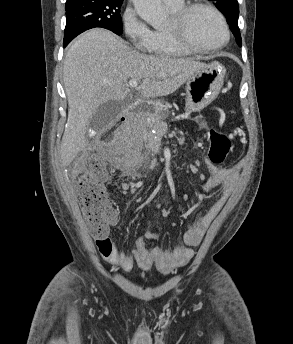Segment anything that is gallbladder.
I'll list each match as a JSON object with an SVG mask.
<instances>
[{
	"mask_svg": "<svg viewBox=\"0 0 293 344\" xmlns=\"http://www.w3.org/2000/svg\"><path fill=\"white\" fill-rule=\"evenodd\" d=\"M121 110V106L118 101H107L103 103L96 112L91 116L89 120V128L94 131H99L106 127Z\"/></svg>",
	"mask_w": 293,
	"mask_h": 344,
	"instance_id": "gallbladder-1",
	"label": "gallbladder"
}]
</instances>
